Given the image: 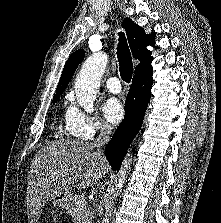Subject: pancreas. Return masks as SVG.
I'll return each instance as SVG.
<instances>
[{
    "label": "pancreas",
    "instance_id": "pancreas-1",
    "mask_svg": "<svg viewBox=\"0 0 221 223\" xmlns=\"http://www.w3.org/2000/svg\"><path fill=\"white\" fill-rule=\"evenodd\" d=\"M65 209L74 219L75 223H91L92 213L90 212V209L86 207L84 197H72Z\"/></svg>",
    "mask_w": 221,
    "mask_h": 223
}]
</instances>
